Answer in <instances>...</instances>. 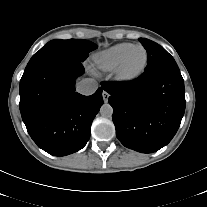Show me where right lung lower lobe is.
<instances>
[{
	"instance_id": "obj_1",
	"label": "right lung lower lobe",
	"mask_w": 207,
	"mask_h": 207,
	"mask_svg": "<svg viewBox=\"0 0 207 207\" xmlns=\"http://www.w3.org/2000/svg\"><path fill=\"white\" fill-rule=\"evenodd\" d=\"M81 62L65 57L26 67L20 80V112L38 147L54 156L82 149L91 124L103 104L102 88L91 96L75 92Z\"/></svg>"
}]
</instances>
